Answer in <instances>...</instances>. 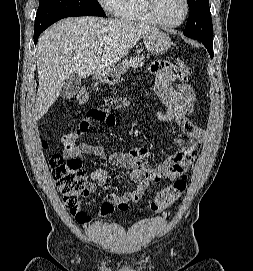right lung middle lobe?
I'll list each match as a JSON object with an SVG mask.
<instances>
[{
  "label": "right lung middle lobe",
  "mask_w": 253,
  "mask_h": 271,
  "mask_svg": "<svg viewBox=\"0 0 253 271\" xmlns=\"http://www.w3.org/2000/svg\"><path fill=\"white\" fill-rule=\"evenodd\" d=\"M86 15L104 17L105 12L97 0H40L34 32L65 17Z\"/></svg>",
  "instance_id": "dd1d6c3e"
}]
</instances>
